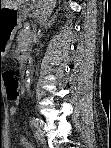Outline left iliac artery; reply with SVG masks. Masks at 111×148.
<instances>
[{
	"instance_id": "1",
	"label": "left iliac artery",
	"mask_w": 111,
	"mask_h": 148,
	"mask_svg": "<svg viewBox=\"0 0 111 148\" xmlns=\"http://www.w3.org/2000/svg\"><path fill=\"white\" fill-rule=\"evenodd\" d=\"M31 123H32L35 127H38V126L41 125V121H40L38 118H35V117H33V118L31 119Z\"/></svg>"
}]
</instances>
